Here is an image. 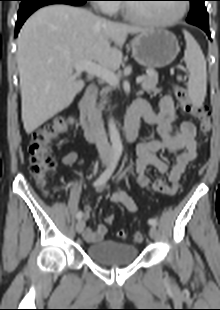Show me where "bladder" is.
Returning <instances> with one entry per match:
<instances>
[{
	"instance_id": "obj_1",
	"label": "bladder",
	"mask_w": 220,
	"mask_h": 310,
	"mask_svg": "<svg viewBox=\"0 0 220 310\" xmlns=\"http://www.w3.org/2000/svg\"><path fill=\"white\" fill-rule=\"evenodd\" d=\"M90 260L102 265H128L133 263L138 254L137 247L128 243L102 240L87 247Z\"/></svg>"
}]
</instances>
